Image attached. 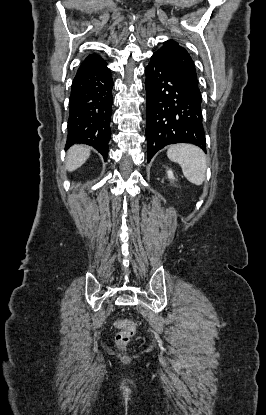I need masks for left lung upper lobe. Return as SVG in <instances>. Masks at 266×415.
<instances>
[{"instance_id":"5c2ea615","label":"left lung upper lobe","mask_w":266,"mask_h":415,"mask_svg":"<svg viewBox=\"0 0 266 415\" xmlns=\"http://www.w3.org/2000/svg\"><path fill=\"white\" fill-rule=\"evenodd\" d=\"M155 53L159 54L183 78L189 88L201 97L195 65L185 48L173 40H168Z\"/></svg>"}]
</instances>
